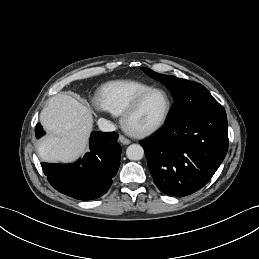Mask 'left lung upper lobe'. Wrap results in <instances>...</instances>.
<instances>
[{"mask_svg": "<svg viewBox=\"0 0 259 259\" xmlns=\"http://www.w3.org/2000/svg\"><path fill=\"white\" fill-rule=\"evenodd\" d=\"M143 70L150 77L165 83L173 93L176 103L168 122L220 106L209 91L199 83L176 78L172 75L159 74L145 67H143Z\"/></svg>", "mask_w": 259, "mask_h": 259, "instance_id": "5c2ea615", "label": "left lung upper lobe"}]
</instances>
